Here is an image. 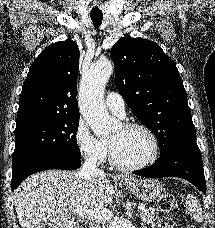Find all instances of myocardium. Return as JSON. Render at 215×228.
I'll use <instances>...</instances> for the list:
<instances>
[{
    "label": "myocardium",
    "mask_w": 215,
    "mask_h": 228,
    "mask_svg": "<svg viewBox=\"0 0 215 228\" xmlns=\"http://www.w3.org/2000/svg\"><path fill=\"white\" fill-rule=\"evenodd\" d=\"M123 128L124 129L139 128V129L143 130L147 134V136L150 140L151 149H150L148 156L142 162L134 164V165H125V164L120 163L115 158L113 149L108 144L111 164L115 168H117L121 171H124V172H133V171H137V170H141L143 168H146L147 166H149L151 163H153L156 160L158 153H159V143H158V139L156 137V134L148 125L141 123V122H128V123H125L123 125Z\"/></svg>",
    "instance_id": "obj_1"
}]
</instances>
